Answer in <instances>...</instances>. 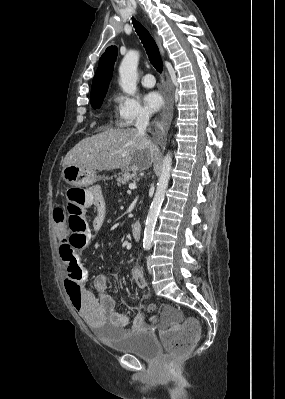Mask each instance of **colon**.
<instances>
[{
  "label": "colon",
  "instance_id": "obj_1",
  "mask_svg": "<svg viewBox=\"0 0 285 399\" xmlns=\"http://www.w3.org/2000/svg\"><path fill=\"white\" fill-rule=\"evenodd\" d=\"M83 199L84 191L69 190L61 204L69 237L60 247V259L67 265L68 271L76 266L78 251L86 246L92 237L91 228L82 210ZM65 288L72 304L78 307L82 298L81 284L66 279ZM200 333V327L195 321L181 319L163 330L162 339L166 345V353L163 356L165 365L169 368L176 359L187 355L198 341Z\"/></svg>",
  "mask_w": 285,
  "mask_h": 399
}]
</instances>
